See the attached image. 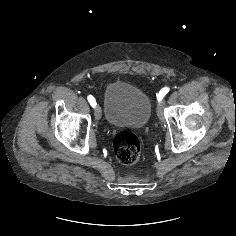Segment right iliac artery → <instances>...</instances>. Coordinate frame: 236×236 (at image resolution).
Segmentation results:
<instances>
[{
  "mask_svg": "<svg viewBox=\"0 0 236 236\" xmlns=\"http://www.w3.org/2000/svg\"><path fill=\"white\" fill-rule=\"evenodd\" d=\"M87 99H88L90 105L95 108V106H96V100H95V98H94L92 95H89V96L87 97Z\"/></svg>",
  "mask_w": 236,
  "mask_h": 236,
  "instance_id": "82829eb1",
  "label": "right iliac artery"
}]
</instances>
